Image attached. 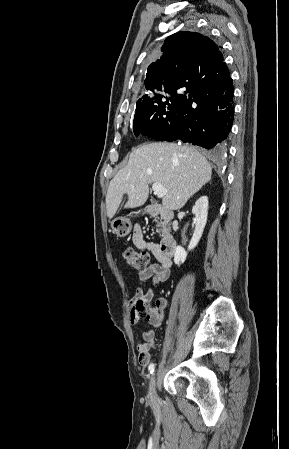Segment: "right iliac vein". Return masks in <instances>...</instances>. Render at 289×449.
Listing matches in <instances>:
<instances>
[{
    "mask_svg": "<svg viewBox=\"0 0 289 449\" xmlns=\"http://www.w3.org/2000/svg\"><path fill=\"white\" fill-rule=\"evenodd\" d=\"M156 384H157V378L156 373L153 374L150 382V400L155 403L157 401V393H156Z\"/></svg>",
    "mask_w": 289,
    "mask_h": 449,
    "instance_id": "1",
    "label": "right iliac vein"
}]
</instances>
